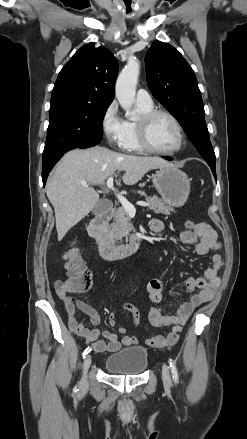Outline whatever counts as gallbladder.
<instances>
[{
    "label": "gallbladder",
    "instance_id": "obj_1",
    "mask_svg": "<svg viewBox=\"0 0 247 439\" xmlns=\"http://www.w3.org/2000/svg\"><path fill=\"white\" fill-rule=\"evenodd\" d=\"M105 210V205L103 201H99L93 208V213L95 215L102 213Z\"/></svg>",
    "mask_w": 247,
    "mask_h": 439
}]
</instances>
